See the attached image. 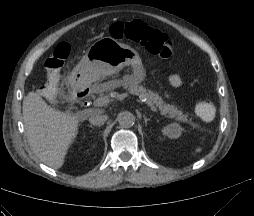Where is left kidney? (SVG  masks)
I'll return each instance as SVG.
<instances>
[{
  "instance_id": "obj_1",
  "label": "left kidney",
  "mask_w": 254,
  "mask_h": 216,
  "mask_svg": "<svg viewBox=\"0 0 254 216\" xmlns=\"http://www.w3.org/2000/svg\"><path fill=\"white\" fill-rule=\"evenodd\" d=\"M182 128L179 124L177 123H171L168 126H166L162 132L163 135L168 136L171 139H176L179 138L181 133H182Z\"/></svg>"
}]
</instances>
